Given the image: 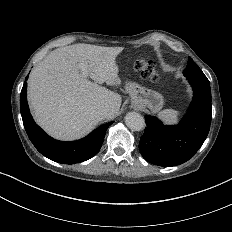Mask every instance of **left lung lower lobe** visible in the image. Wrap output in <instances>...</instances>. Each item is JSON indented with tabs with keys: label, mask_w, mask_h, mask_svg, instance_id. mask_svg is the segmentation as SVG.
Returning <instances> with one entry per match:
<instances>
[{
	"label": "left lung lower lobe",
	"mask_w": 232,
	"mask_h": 232,
	"mask_svg": "<svg viewBox=\"0 0 232 232\" xmlns=\"http://www.w3.org/2000/svg\"><path fill=\"white\" fill-rule=\"evenodd\" d=\"M190 107L177 125H164L156 117L145 115L146 129L140 139L143 158L158 166L185 163L200 149L210 130L211 92L194 89Z\"/></svg>",
	"instance_id": "0a47b994"
}]
</instances>
